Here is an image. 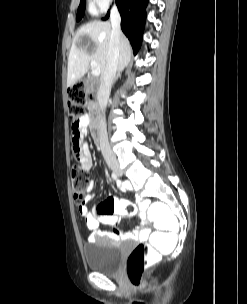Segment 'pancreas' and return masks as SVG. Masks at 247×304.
<instances>
[{
    "mask_svg": "<svg viewBox=\"0 0 247 304\" xmlns=\"http://www.w3.org/2000/svg\"><path fill=\"white\" fill-rule=\"evenodd\" d=\"M91 104V106H93V102L92 101H88L87 104Z\"/></svg>",
    "mask_w": 247,
    "mask_h": 304,
    "instance_id": "1",
    "label": "pancreas"
}]
</instances>
